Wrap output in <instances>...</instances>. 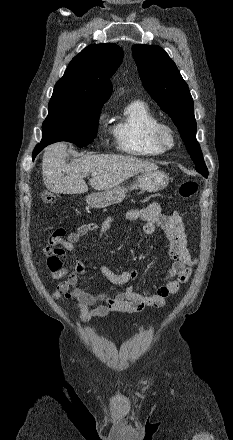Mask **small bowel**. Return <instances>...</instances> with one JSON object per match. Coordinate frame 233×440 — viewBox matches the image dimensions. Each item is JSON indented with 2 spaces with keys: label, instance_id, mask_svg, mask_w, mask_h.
<instances>
[{
  "label": "small bowel",
  "instance_id": "obj_1",
  "mask_svg": "<svg viewBox=\"0 0 233 440\" xmlns=\"http://www.w3.org/2000/svg\"><path fill=\"white\" fill-rule=\"evenodd\" d=\"M121 217L126 221H143V230L147 235H152L157 228L163 231L168 243V255L167 259L158 266L167 265L164 275L165 284L158 287L152 295H142L132 288L114 295L92 294L81 289L78 280L85 272V266L75 253V244L81 237L93 232L97 233L98 240L102 241L115 216H108L101 225L82 224L69 234L64 228H57L42 248L43 254L47 257L46 266L50 271L51 279L65 278L59 282L52 297L55 300L64 299L72 302L80 310L81 323H86L93 317H106L112 312L138 314L147 307H163L167 299L178 293L189 280L192 267L196 263L190 254L184 223L178 212L164 214L160 204L154 201L143 208L128 210ZM66 254L72 256L71 268L62 265L61 258ZM100 272L114 285H124L137 277L135 270L117 273L105 265L100 267Z\"/></svg>",
  "mask_w": 233,
  "mask_h": 440
}]
</instances>
